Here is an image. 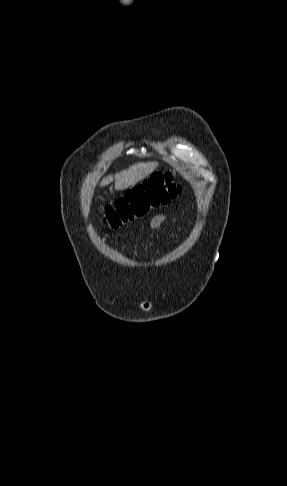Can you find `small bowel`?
<instances>
[{"label": "small bowel", "mask_w": 287, "mask_h": 486, "mask_svg": "<svg viewBox=\"0 0 287 486\" xmlns=\"http://www.w3.org/2000/svg\"><path fill=\"white\" fill-rule=\"evenodd\" d=\"M168 219L169 217L166 214L155 215L150 221V229H159L165 222L168 221Z\"/></svg>", "instance_id": "obj_1"}]
</instances>
